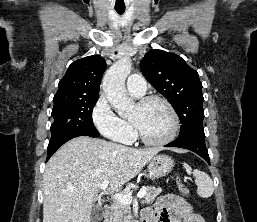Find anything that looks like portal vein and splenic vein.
Instances as JSON below:
<instances>
[{
    "label": "portal vein and splenic vein",
    "mask_w": 257,
    "mask_h": 222,
    "mask_svg": "<svg viewBox=\"0 0 257 222\" xmlns=\"http://www.w3.org/2000/svg\"><path fill=\"white\" fill-rule=\"evenodd\" d=\"M108 185H109V181L105 180L100 185V189L105 190L108 187ZM145 194H146L145 187H142V189L138 192L137 197L141 199L145 196ZM112 198L125 205H129L132 202V195L130 193L128 194L114 193L112 194Z\"/></svg>",
    "instance_id": "1"
}]
</instances>
